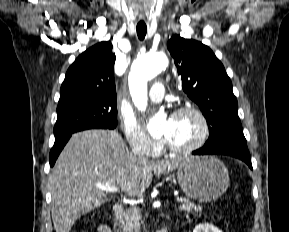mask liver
Returning a JSON list of instances; mask_svg holds the SVG:
<instances>
[{
	"mask_svg": "<svg viewBox=\"0 0 289 232\" xmlns=\"http://www.w3.org/2000/svg\"><path fill=\"white\" fill-rule=\"evenodd\" d=\"M182 159L142 161L112 130L75 133L60 153L49 176L51 213L56 232H69L78 218L110 199L96 184H109L126 196L141 195L153 173L160 177Z\"/></svg>",
	"mask_w": 289,
	"mask_h": 232,
	"instance_id": "liver-1",
	"label": "liver"
}]
</instances>
